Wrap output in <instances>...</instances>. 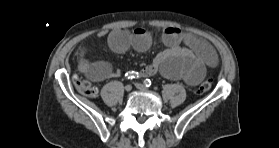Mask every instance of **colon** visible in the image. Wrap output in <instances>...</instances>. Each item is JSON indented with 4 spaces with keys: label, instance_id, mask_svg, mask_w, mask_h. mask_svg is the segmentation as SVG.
Masks as SVG:
<instances>
[{
    "label": "colon",
    "instance_id": "obj_1",
    "mask_svg": "<svg viewBox=\"0 0 279 148\" xmlns=\"http://www.w3.org/2000/svg\"><path fill=\"white\" fill-rule=\"evenodd\" d=\"M76 89L84 96L95 97L98 93L96 87H94L89 81L83 79L81 76L76 75L73 78ZM212 82L210 79H205L197 87V93L203 94L210 90Z\"/></svg>",
    "mask_w": 279,
    "mask_h": 148
}]
</instances>
